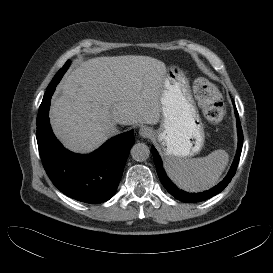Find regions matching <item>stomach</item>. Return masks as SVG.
I'll return each mask as SVG.
<instances>
[{
  "label": "stomach",
  "instance_id": "0dacf381",
  "mask_svg": "<svg viewBox=\"0 0 273 273\" xmlns=\"http://www.w3.org/2000/svg\"><path fill=\"white\" fill-rule=\"evenodd\" d=\"M159 103L161 120L156 138L164 156L184 159L200 152L205 142L204 127L189 81L179 66L167 68Z\"/></svg>",
  "mask_w": 273,
  "mask_h": 273
}]
</instances>
